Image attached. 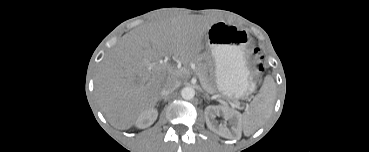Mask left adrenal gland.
Returning a JSON list of instances; mask_svg holds the SVG:
<instances>
[{
    "label": "left adrenal gland",
    "instance_id": "a2214340",
    "mask_svg": "<svg viewBox=\"0 0 369 152\" xmlns=\"http://www.w3.org/2000/svg\"><path fill=\"white\" fill-rule=\"evenodd\" d=\"M203 97L209 100V96L207 94H203Z\"/></svg>",
    "mask_w": 369,
    "mask_h": 152
}]
</instances>
